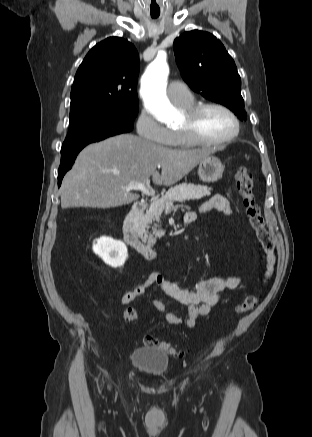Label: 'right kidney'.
<instances>
[{"mask_svg":"<svg viewBox=\"0 0 312 437\" xmlns=\"http://www.w3.org/2000/svg\"><path fill=\"white\" fill-rule=\"evenodd\" d=\"M93 251L112 267L122 266L128 257L126 245L122 241L110 237L97 239L96 243L93 244Z\"/></svg>","mask_w":312,"mask_h":437,"instance_id":"1","label":"right kidney"}]
</instances>
